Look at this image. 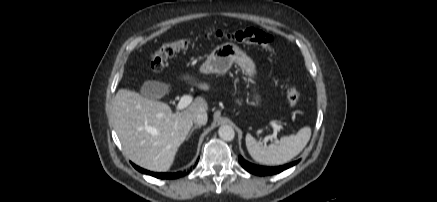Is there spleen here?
<instances>
[{
	"label": "spleen",
	"mask_w": 437,
	"mask_h": 202,
	"mask_svg": "<svg viewBox=\"0 0 437 202\" xmlns=\"http://www.w3.org/2000/svg\"><path fill=\"white\" fill-rule=\"evenodd\" d=\"M311 128L303 127L295 135L284 136L269 146L259 143L251 134L246 135V147L250 156L266 165H280L296 157L307 145Z\"/></svg>",
	"instance_id": "spleen-1"
}]
</instances>
